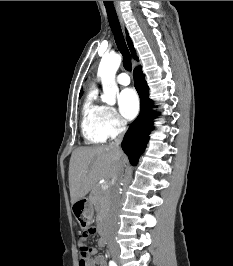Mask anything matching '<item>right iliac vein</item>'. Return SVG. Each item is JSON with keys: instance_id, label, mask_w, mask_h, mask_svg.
<instances>
[{"instance_id": "1", "label": "right iliac vein", "mask_w": 233, "mask_h": 266, "mask_svg": "<svg viewBox=\"0 0 233 266\" xmlns=\"http://www.w3.org/2000/svg\"><path fill=\"white\" fill-rule=\"evenodd\" d=\"M111 255H112L113 259H114L116 262H119V255H118V252H117V251L113 250V251L111 252Z\"/></svg>"}]
</instances>
